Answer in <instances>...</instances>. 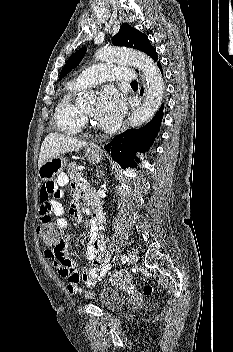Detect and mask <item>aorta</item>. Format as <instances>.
Masks as SVG:
<instances>
[{"mask_svg":"<svg viewBox=\"0 0 233 352\" xmlns=\"http://www.w3.org/2000/svg\"><path fill=\"white\" fill-rule=\"evenodd\" d=\"M97 60L123 62L137 67L147 81V93L143 104L132 113L129 119L131 127H138L147 122L159 108L164 94L162 75L153 60L135 50L121 48H102L95 54ZM93 93L82 91L78 95L79 101L93 98Z\"/></svg>","mask_w":233,"mask_h":352,"instance_id":"762f6f07","label":"aorta"}]
</instances>
